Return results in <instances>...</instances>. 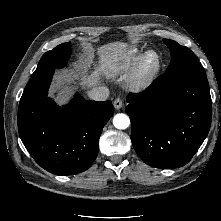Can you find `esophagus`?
<instances>
[{
    "instance_id": "esophagus-1",
    "label": "esophagus",
    "mask_w": 221,
    "mask_h": 221,
    "mask_svg": "<svg viewBox=\"0 0 221 221\" xmlns=\"http://www.w3.org/2000/svg\"><path fill=\"white\" fill-rule=\"evenodd\" d=\"M113 105H114V108L117 109V110L122 108V106H123L122 99L121 98H116L113 102Z\"/></svg>"
}]
</instances>
